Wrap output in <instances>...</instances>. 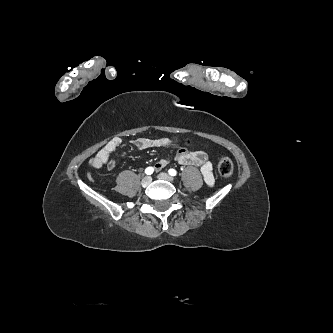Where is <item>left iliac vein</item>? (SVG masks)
I'll return each instance as SVG.
<instances>
[{
	"instance_id": "1",
	"label": "left iliac vein",
	"mask_w": 333,
	"mask_h": 333,
	"mask_svg": "<svg viewBox=\"0 0 333 333\" xmlns=\"http://www.w3.org/2000/svg\"><path fill=\"white\" fill-rule=\"evenodd\" d=\"M158 178L162 179V180H166V181H173V177H171L170 175H168L167 173H164V172L160 173L158 175Z\"/></svg>"
}]
</instances>
